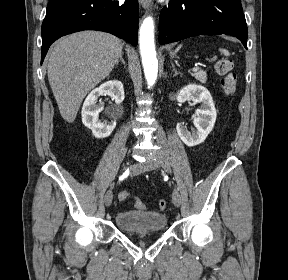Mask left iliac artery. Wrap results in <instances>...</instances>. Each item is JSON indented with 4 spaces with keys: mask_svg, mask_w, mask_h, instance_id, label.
Segmentation results:
<instances>
[{
    "mask_svg": "<svg viewBox=\"0 0 288 280\" xmlns=\"http://www.w3.org/2000/svg\"><path fill=\"white\" fill-rule=\"evenodd\" d=\"M162 179L167 181L168 187H171L173 192L177 191L178 185L175 184L174 179H169V174H162Z\"/></svg>",
    "mask_w": 288,
    "mask_h": 280,
    "instance_id": "obj_1",
    "label": "left iliac artery"
}]
</instances>
